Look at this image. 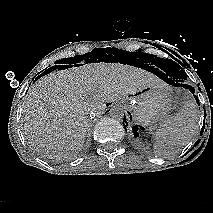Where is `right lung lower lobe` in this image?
<instances>
[{
  "label": "right lung lower lobe",
  "mask_w": 213,
  "mask_h": 213,
  "mask_svg": "<svg viewBox=\"0 0 213 213\" xmlns=\"http://www.w3.org/2000/svg\"><path fill=\"white\" fill-rule=\"evenodd\" d=\"M66 67H67V65H60V64H57V65L52 66V67H50L49 69H47L44 73L47 74V73H50L51 71L55 70L56 68H58V69H64V68H66Z\"/></svg>",
  "instance_id": "98d812e1"
}]
</instances>
